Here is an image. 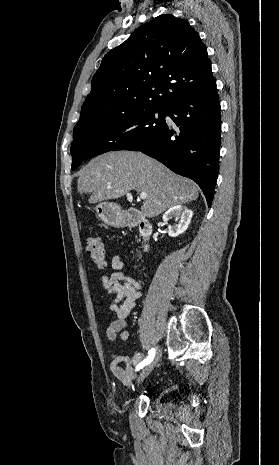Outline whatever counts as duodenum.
Returning <instances> with one entry per match:
<instances>
[{"instance_id": "410a0bca", "label": "duodenum", "mask_w": 279, "mask_h": 465, "mask_svg": "<svg viewBox=\"0 0 279 465\" xmlns=\"http://www.w3.org/2000/svg\"><path fill=\"white\" fill-rule=\"evenodd\" d=\"M124 225L128 227L138 228L139 236L144 242V249L147 250V241L150 239L152 234L151 223L142 216H140L139 213L135 211H129L124 217Z\"/></svg>"}]
</instances>
